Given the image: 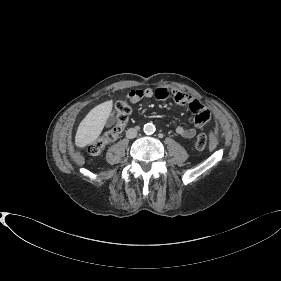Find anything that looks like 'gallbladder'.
Listing matches in <instances>:
<instances>
[{
    "mask_svg": "<svg viewBox=\"0 0 281 281\" xmlns=\"http://www.w3.org/2000/svg\"><path fill=\"white\" fill-rule=\"evenodd\" d=\"M115 123V118L114 117H110L107 122L106 125L107 126H112Z\"/></svg>",
    "mask_w": 281,
    "mask_h": 281,
    "instance_id": "1",
    "label": "gallbladder"
}]
</instances>
